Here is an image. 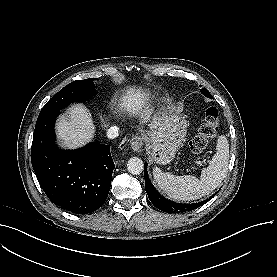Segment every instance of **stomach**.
Returning a JSON list of instances; mask_svg holds the SVG:
<instances>
[{"instance_id":"obj_1","label":"stomach","mask_w":277,"mask_h":277,"mask_svg":"<svg viewBox=\"0 0 277 277\" xmlns=\"http://www.w3.org/2000/svg\"><path fill=\"white\" fill-rule=\"evenodd\" d=\"M187 121L173 107L163 109L153 117L147 130L143 131L147 152L160 165L170 163L186 137Z\"/></svg>"}]
</instances>
